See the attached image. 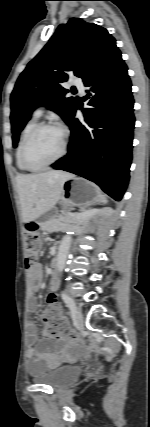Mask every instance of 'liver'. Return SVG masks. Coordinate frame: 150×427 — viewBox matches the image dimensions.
Masks as SVG:
<instances>
[{
    "label": "liver",
    "mask_w": 150,
    "mask_h": 427,
    "mask_svg": "<svg viewBox=\"0 0 150 427\" xmlns=\"http://www.w3.org/2000/svg\"><path fill=\"white\" fill-rule=\"evenodd\" d=\"M72 177L63 171L17 176L23 222L36 220L51 210L61 198L64 182Z\"/></svg>",
    "instance_id": "liver-1"
}]
</instances>
